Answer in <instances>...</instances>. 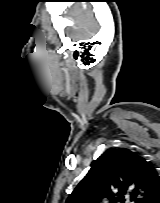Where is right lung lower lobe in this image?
I'll return each instance as SVG.
<instances>
[{
  "label": "right lung lower lobe",
  "instance_id": "98d812e1",
  "mask_svg": "<svg viewBox=\"0 0 160 203\" xmlns=\"http://www.w3.org/2000/svg\"><path fill=\"white\" fill-rule=\"evenodd\" d=\"M151 203H160V195L157 196V198H155L153 201H151Z\"/></svg>",
  "mask_w": 160,
  "mask_h": 203
}]
</instances>
